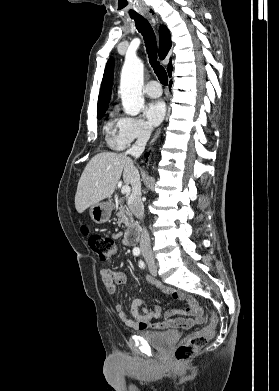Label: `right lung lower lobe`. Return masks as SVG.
<instances>
[{"label":"right lung lower lobe","instance_id":"1","mask_svg":"<svg viewBox=\"0 0 279 391\" xmlns=\"http://www.w3.org/2000/svg\"><path fill=\"white\" fill-rule=\"evenodd\" d=\"M148 155H149L148 153L145 154L146 157H148Z\"/></svg>","mask_w":279,"mask_h":391}]
</instances>
